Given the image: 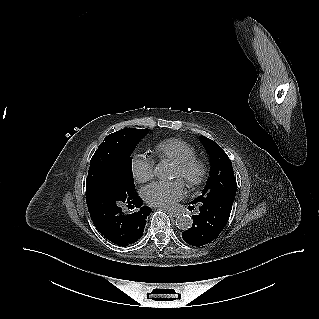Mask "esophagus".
<instances>
[{
    "mask_svg": "<svg viewBox=\"0 0 319 319\" xmlns=\"http://www.w3.org/2000/svg\"><path fill=\"white\" fill-rule=\"evenodd\" d=\"M167 212H168V214H170L173 217H177L179 215V212H177L175 210L168 209Z\"/></svg>",
    "mask_w": 319,
    "mask_h": 319,
    "instance_id": "esophagus-1",
    "label": "esophagus"
}]
</instances>
